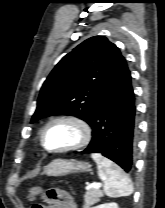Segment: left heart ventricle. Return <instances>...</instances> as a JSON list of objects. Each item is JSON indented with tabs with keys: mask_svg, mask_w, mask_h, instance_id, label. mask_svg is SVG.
I'll list each match as a JSON object with an SVG mask.
<instances>
[{
	"mask_svg": "<svg viewBox=\"0 0 165 208\" xmlns=\"http://www.w3.org/2000/svg\"><path fill=\"white\" fill-rule=\"evenodd\" d=\"M79 137V131L75 126L60 122L48 128L44 136V142L48 148L58 149L77 142Z\"/></svg>",
	"mask_w": 165,
	"mask_h": 208,
	"instance_id": "b2bd125f",
	"label": "left heart ventricle"
}]
</instances>
